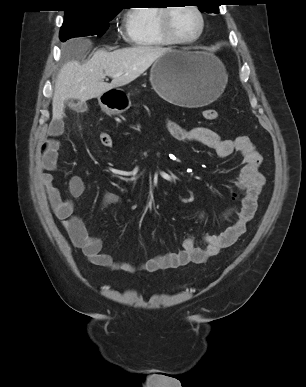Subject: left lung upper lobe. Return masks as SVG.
<instances>
[{
    "instance_id": "left-lung-upper-lobe-1",
    "label": "left lung upper lobe",
    "mask_w": 306,
    "mask_h": 387,
    "mask_svg": "<svg viewBox=\"0 0 306 387\" xmlns=\"http://www.w3.org/2000/svg\"><path fill=\"white\" fill-rule=\"evenodd\" d=\"M221 0H196L199 10L206 13H218Z\"/></svg>"
}]
</instances>
